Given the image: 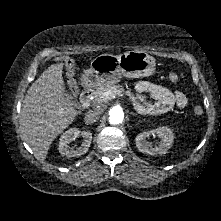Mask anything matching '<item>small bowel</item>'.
I'll use <instances>...</instances> for the list:
<instances>
[{
  "label": "small bowel",
  "instance_id": "1",
  "mask_svg": "<svg viewBox=\"0 0 221 221\" xmlns=\"http://www.w3.org/2000/svg\"><path fill=\"white\" fill-rule=\"evenodd\" d=\"M135 91L138 94L149 93L155 102L146 106V111L154 114H161L169 111L174 106L183 109L188 105L186 95L179 91H171L168 88L148 81H138L135 84ZM142 107V106H141Z\"/></svg>",
  "mask_w": 221,
  "mask_h": 221
}]
</instances>
